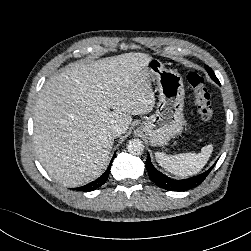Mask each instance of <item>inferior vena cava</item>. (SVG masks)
I'll use <instances>...</instances> for the list:
<instances>
[{"instance_id":"obj_1","label":"inferior vena cava","mask_w":251,"mask_h":251,"mask_svg":"<svg viewBox=\"0 0 251 251\" xmlns=\"http://www.w3.org/2000/svg\"><path fill=\"white\" fill-rule=\"evenodd\" d=\"M122 132H123V130L119 125H113L111 127V133L115 137L120 136L122 134Z\"/></svg>"}]
</instances>
